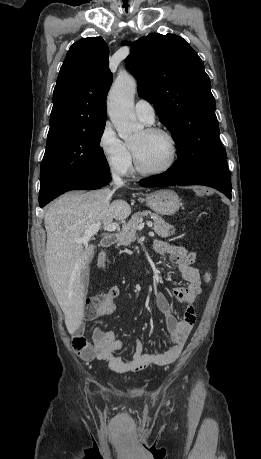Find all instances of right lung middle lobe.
I'll list each match as a JSON object with an SVG mask.
<instances>
[{
    "label": "right lung middle lobe",
    "mask_w": 261,
    "mask_h": 459,
    "mask_svg": "<svg viewBox=\"0 0 261 459\" xmlns=\"http://www.w3.org/2000/svg\"><path fill=\"white\" fill-rule=\"evenodd\" d=\"M104 128L105 122H102L90 128L47 136L39 198L70 177L109 173L108 162L100 149Z\"/></svg>",
    "instance_id": "dd1d6c3e"
}]
</instances>
